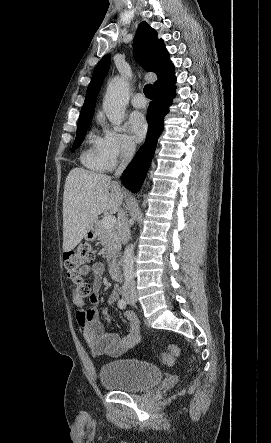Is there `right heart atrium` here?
<instances>
[{
	"instance_id": "right-heart-atrium-1",
	"label": "right heart atrium",
	"mask_w": 271,
	"mask_h": 443,
	"mask_svg": "<svg viewBox=\"0 0 271 443\" xmlns=\"http://www.w3.org/2000/svg\"><path fill=\"white\" fill-rule=\"evenodd\" d=\"M97 121L105 125L101 113L97 115ZM101 150L105 158L114 165L119 159L132 154L135 151V145L126 133L105 126L101 138Z\"/></svg>"
}]
</instances>
